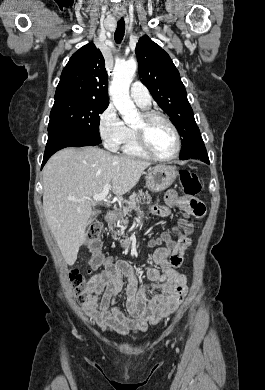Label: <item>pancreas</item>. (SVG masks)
Listing matches in <instances>:
<instances>
[{"instance_id": "pancreas-1", "label": "pancreas", "mask_w": 265, "mask_h": 390, "mask_svg": "<svg viewBox=\"0 0 265 390\" xmlns=\"http://www.w3.org/2000/svg\"><path fill=\"white\" fill-rule=\"evenodd\" d=\"M142 197L149 198V194L148 193L144 194L142 192H139L137 194L131 195L130 196V201L128 202L129 206L128 207H123V209H120V210L116 211V218H117V221H119L120 224H125L127 222L126 216H127L128 212H129V210L134 209L136 207V204L139 205L141 203V198ZM113 225L114 226L116 225V221L110 223V226H109L110 231H113ZM116 235L124 236V234L122 232H120V231L115 232L113 237L115 238ZM127 242H128V239H126L124 241V243H127Z\"/></svg>"}]
</instances>
